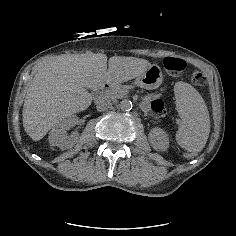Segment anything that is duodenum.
I'll return each mask as SVG.
<instances>
[{
	"instance_id": "obj_1",
	"label": "duodenum",
	"mask_w": 236,
	"mask_h": 236,
	"mask_svg": "<svg viewBox=\"0 0 236 236\" xmlns=\"http://www.w3.org/2000/svg\"><path fill=\"white\" fill-rule=\"evenodd\" d=\"M112 88V84L109 82H102L97 89L98 92L106 91L108 89Z\"/></svg>"
}]
</instances>
